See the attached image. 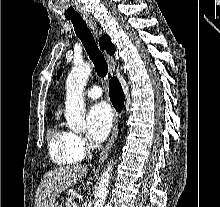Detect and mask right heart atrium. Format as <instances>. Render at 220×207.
<instances>
[{"instance_id":"d8ad5b80","label":"right heart atrium","mask_w":220,"mask_h":207,"mask_svg":"<svg viewBox=\"0 0 220 207\" xmlns=\"http://www.w3.org/2000/svg\"><path fill=\"white\" fill-rule=\"evenodd\" d=\"M77 136V135H76ZM77 142L78 144L84 149L88 146V142L86 141V139H84L81 136H77Z\"/></svg>"}]
</instances>
